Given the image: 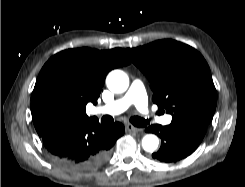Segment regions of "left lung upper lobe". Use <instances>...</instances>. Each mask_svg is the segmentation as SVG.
<instances>
[{
    "label": "left lung upper lobe",
    "mask_w": 245,
    "mask_h": 187,
    "mask_svg": "<svg viewBox=\"0 0 245 187\" xmlns=\"http://www.w3.org/2000/svg\"><path fill=\"white\" fill-rule=\"evenodd\" d=\"M126 52L150 81L153 102L172 115V124H210L217 93L210 68L197 50L159 40Z\"/></svg>",
    "instance_id": "1"
}]
</instances>
